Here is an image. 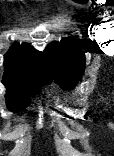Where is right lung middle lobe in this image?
Segmentation results:
<instances>
[{
  "mask_svg": "<svg viewBox=\"0 0 114 156\" xmlns=\"http://www.w3.org/2000/svg\"><path fill=\"white\" fill-rule=\"evenodd\" d=\"M53 77H40L31 79L22 84H10L5 83L7 88L6 104L10 111L18 112L26 108L30 100L27 96H33L37 94L41 88V85L49 84Z\"/></svg>",
  "mask_w": 114,
  "mask_h": 156,
  "instance_id": "right-lung-middle-lobe-1",
  "label": "right lung middle lobe"
}]
</instances>
